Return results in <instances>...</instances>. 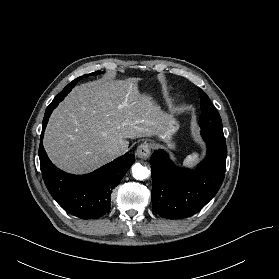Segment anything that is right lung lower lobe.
<instances>
[{"label": "right lung lower lobe", "mask_w": 279, "mask_h": 279, "mask_svg": "<svg viewBox=\"0 0 279 279\" xmlns=\"http://www.w3.org/2000/svg\"><path fill=\"white\" fill-rule=\"evenodd\" d=\"M70 91L58 94L47 107L41 140L50 114ZM39 158L42 176L52 197L66 212L81 219H96L109 212L112 190L135 162L134 155L126 153L90 174L75 176L61 171L51 163L42 142Z\"/></svg>", "instance_id": "1"}]
</instances>
